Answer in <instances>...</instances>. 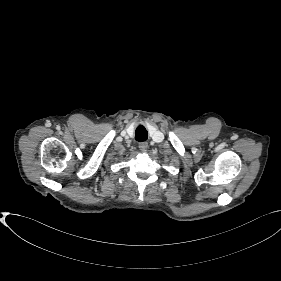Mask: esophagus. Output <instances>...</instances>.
Wrapping results in <instances>:
<instances>
[{
  "label": "esophagus",
  "mask_w": 281,
  "mask_h": 281,
  "mask_svg": "<svg viewBox=\"0 0 281 281\" xmlns=\"http://www.w3.org/2000/svg\"><path fill=\"white\" fill-rule=\"evenodd\" d=\"M138 147L142 152H145L148 148V143L147 142H141V143H139Z\"/></svg>",
  "instance_id": "obj_1"
}]
</instances>
